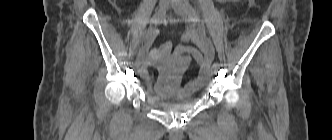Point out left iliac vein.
<instances>
[{"mask_svg": "<svg viewBox=\"0 0 332 140\" xmlns=\"http://www.w3.org/2000/svg\"><path fill=\"white\" fill-rule=\"evenodd\" d=\"M186 2V0H171V6L174 11L185 20H187L189 17ZM217 70L218 69L216 67H212L213 73H216Z\"/></svg>", "mask_w": 332, "mask_h": 140, "instance_id": "left-iliac-vein-1", "label": "left iliac vein"}]
</instances>
